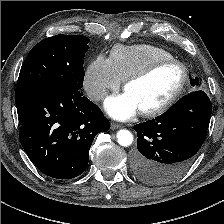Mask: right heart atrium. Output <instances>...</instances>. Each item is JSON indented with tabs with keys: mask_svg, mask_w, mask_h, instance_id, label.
Returning <instances> with one entry per match:
<instances>
[{
	"mask_svg": "<svg viewBox=\"0 0 224 224\" xmlns=\"http://www.w3.org/2000/svg\"><path fill=\"white\" fill-rule=\"evenodd\" d=\"M121 82L112 67L110 58L99 55L90 62L86 69L84 89L90 100L98 102L109 91L119 89Z\"/></svg>",
	"mask_w": 224,
	"mask_h": 224,
	"instance_id": "1",
	"label": "right heart atrium"
}]
</instances>
